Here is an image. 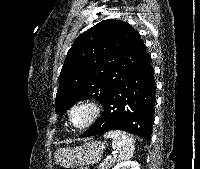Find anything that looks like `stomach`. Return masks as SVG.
I'll use <instances>...</instances> for the list:
<instances>
[{"mask_svg": "<svg viewBox=\"0 0 200 169\" xmlns=\"http://www.w3.org/2000/svg\"><path fill=\"white\" fill-rule=\"evenodd\" d=\"M104 149L105 143L100 141L88 142L74 148H61L54 155L55 162L66 168L95 164L101 160Z\"/></svg>", "mask_w": 200, "mask_h": 169, "instance_id": "1", "label": "stomach"}]
</instances>
